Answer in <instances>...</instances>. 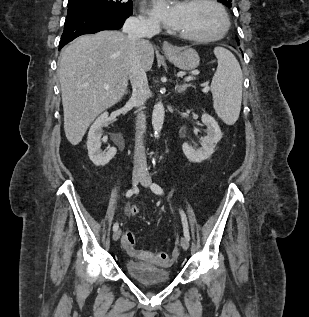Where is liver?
<instances>
[{"label": "liver", "mask_w": 309, "mask_h": 317, "mask_svg": "<svg viewBox=\"0 0 309 317\" xmlns=\"http://www.w3.org/2000/svg\"><path fill=\"white\" fill-rule=\"evenodd\" d=\"M134 47L144 70L149 71L154 61L153 45L148 40H140L134 46L119 31L80 36L61 52L58 75L64 131L72 145L81 142L100 113L124 96Z\"/></svg>", "instance_id": "6515ba94"}]
</instances>
